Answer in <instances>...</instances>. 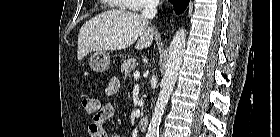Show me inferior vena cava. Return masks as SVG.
<instances>
[{"instance_id":"obj_1","label":"inferior vena cava","mask_w":280,"mask_h":137,"mask_svg":"<svg viewBox=\"0 0 280 137\" xmlns=\"http://www.w3.org/2000/svg\"><path fill=\"white\" fill-rule=\"evenodd\" d=\"M159 0H147L142 11V16L146 19L155 17Z\"/></svg>"}]
</instances>
